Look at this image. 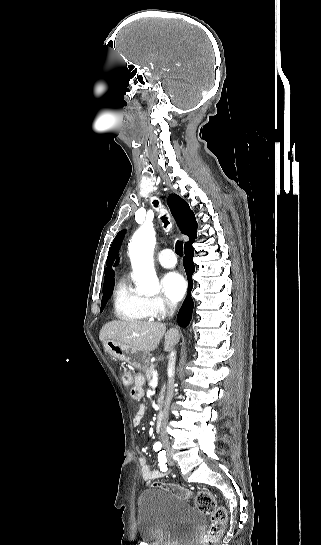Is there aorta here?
<instances>
[{
	"instance_id": "1",
	"label": "aorta",
	"mask_w": 321,
	"mask_h": 545,
	"mask_svg": "<svg viewBox=\"0 0 321 545\" xmlns=\"http://www.w3.org/2000/svg\"><path fill=\"white\" fill-rule=\"evenodd\" d=\"M155 231L152 226L143 225L133 235L129 243V256L141 294H156L159 291L158 279L153 264Z\"/></svg>"
}]
</instances>
